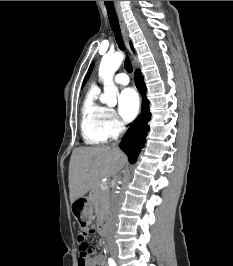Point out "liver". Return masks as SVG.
I'll list each match as a JSON object with an SVG mask.
<instances>
[{"mask_svg":"<svg viewBox=\"0 0 233 266\" xmlns=\"http://www.w3.org/2000/svg\"><path fill=\"white\" fill-rule=\"evenodd\" d=\"M127 163L125 154L115 147H79L71 155L69 163L70 202L93 189L103 178L116 177Z\"/></svg>","mask_w":233,"mask_h":266,"instance_id":"liver-1","label":"liver"}]
</instances>
